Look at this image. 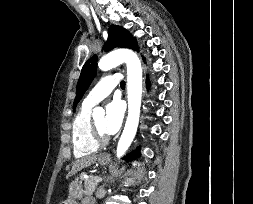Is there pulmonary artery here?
Returning <instances> with one entry per match:
<instances>
[{
    "label": "pulmonary artery",
    "mask_w": 253,
    "mask_h": 204,
    "mask_svg": "<svg viewBox=\"0 0 253 204\" xmlns=\"http://www.w3.org/2000/svg\"><path fill=\"white\" fill-rule=\"evenodd\" d=\"M121 78L122 76L119 73L103 77L89 92L83 103L88 106H95L112 92L115 86L120 83Z\"/></svg>",
    "instance_id": "pulmonary-artery-1"
}]
</instances>
